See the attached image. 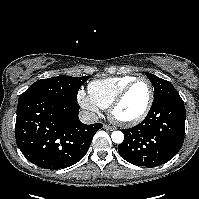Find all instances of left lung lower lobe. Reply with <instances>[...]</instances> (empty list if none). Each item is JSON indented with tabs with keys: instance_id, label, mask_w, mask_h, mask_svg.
<instances>
[{
	"instance_id": "obj_1",
	"label": "left lung lower lobe",
	"mask_w": 199,
	"mask_h": 199,
	"mask_svg": "<svg viewBox=\"0 0 199 199\" xmlns=\"http://www.w3.org/2000/svg\"><path fill=\"white\" fill-rule=\"evenodd\" d=\"M120 156L137 166L155 167L168 162L181 149L185 134V107L179 96L152 104L140 124L123 129Z\"/></svg>"
}]
</instances>
